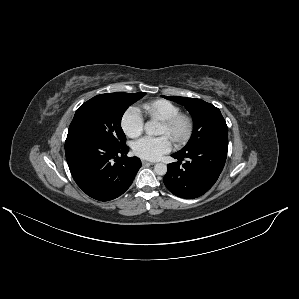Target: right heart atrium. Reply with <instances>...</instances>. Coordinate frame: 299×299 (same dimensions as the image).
Wrapping results in <instances>:
<instances>
[{
    "mask_svg": "<svg viewBox=\"0 0 299 299\" xmlns=\"http://www.w3.org/2000/svg\"><path fill=\"white\" fill-rule=\"evenodd\" d=\"M121 126L127 136L131 138L138 137L144 129L140 109L137 107L129 108L122 117Z\"/></svg>",
    "mask_w": 299,
    "mask_h": 299,
    "instance_id": "obj_1",
    "label": "right heart atrium"
}]
</instances>
